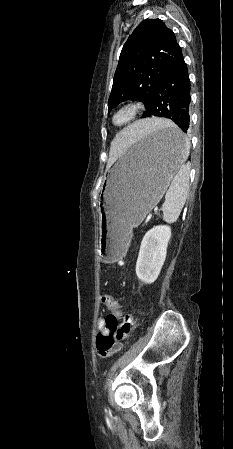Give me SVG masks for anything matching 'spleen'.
Wrapping results in <instances>:
<instances>
[{"label": "spleen", "instance_id": "3e777b00", "mask_svg": "<svg viewBox=\"0 0 233 449\" xmlns=\"http://www.w3.org/2000/svg\"><path fill=\"white\" fill-rule=\"evenodd\" d=\"M164 125V127L172 126ZM175 126V125H174ZM186 151H184L185 159L189 152L190 143L186 141ZM189 192V166L184 162L179 166L176 175L174 176L171 185L166 192L165 201L162 205L163 220L167 223H174L177 221L181 210L186 202Z\"/></svg>", "mask_w": 233, "mask_h": 449}]
</instances>
